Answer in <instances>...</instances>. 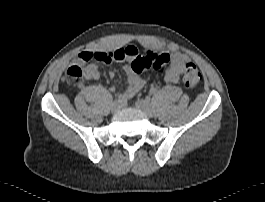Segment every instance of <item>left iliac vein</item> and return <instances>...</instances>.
<instances>
[{
	"instance_id": "4c4485c4",
	"label": "left iliac vein",
	"mask_w": 265,
	"mask_h": 202,
	"mask_svg": "<svg viewBox=\"0 0 265 202\" xmlns=\"http://www.w3.org/2000/svg\"><path fill=\"white\" fill-rule=\"evenodd\" d=\"M136 108L143 112L147 117L153 116V109L151 103L147 99H140L136 102Z\"/></svg>"
}]
</instances>
